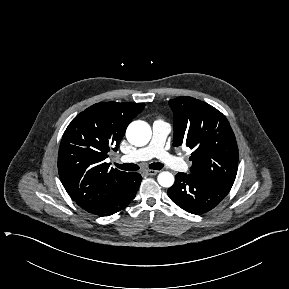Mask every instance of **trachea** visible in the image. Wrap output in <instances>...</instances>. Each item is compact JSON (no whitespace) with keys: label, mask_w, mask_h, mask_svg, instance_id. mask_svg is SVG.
<instances>
[{"label":"trachea","mask_w":289,"mask_h":289,"mask_svg":"<svg viewBox=\"0 0 289 289\" xmlns=\"http://www.w3.org/2000/svg\"><path fill=\"white\" fill-rule=\"evenodd\" d=\"M116 167H118L119 169H122V170H126V171H136L139 169V166L136 165V164H133V163H129V164H115ZM163 164L162 163H152L149 165V168L150 169H153V170H161L163 168Z\"/></svg>","instance_id":"obj_1"}]
</instances>
